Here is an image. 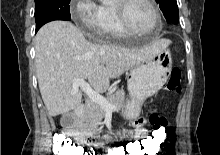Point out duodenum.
Masks as SVG:
<instances>
[{"label": "duodenum", "instance_id": "obj_1", "mask_svg": "<svg viewBox=\"0 0 220 155\" xmlns=\"http://www.w3.org/2000/svg\"><path fill=\"white\" fill-rule=\"evenodd\" d=\"M85 112V107L83 105H78L77 107H75L71 113H70V118H74V119H80L82 117V115ZM68 134L73 137L75 140H77L78 142H82L83 138L77 133L75 132L72 128L69 127L68 129Z\"/></svg>", "mask_w": 220, "mask_h": 155}]
</instances>
